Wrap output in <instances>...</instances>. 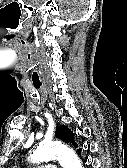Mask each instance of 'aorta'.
Returning a JSON list of instances; mask_svg holds the SVG:
<instances>
[{
    "mask_svg": "<svg viewBox=\"0 0 127 168\" xmlns=\"http://www.w3.org/2000/svg\"><path fill=\"white\" fill-rule=\"evenodd\" d=\"M30 160L34 163L57 160L63 168H83L77 154L60 142L40 143Z\"/></svg>",
    "mask_w": 127,
    "mask_h": 168,
    "instance_id": "762f6f07",
    "label": "aorta"
}]
</instances>
